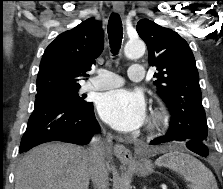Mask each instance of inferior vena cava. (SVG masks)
Returning <instances> with one entry per match:
<instances>
[{"instance_id":"inferior-vena-cava-1","label":"inferior vena cava","mask_w":223,"mask_h":189,"mask_svg":"<svg viewBox=\"0 0 223 189\" xmlns=\"http://www.w3.org/2000/svg\"><path fill=\"white\" fill-rule=\"evenodd\" d=\"M104 151L100 138L98 136H94L91 140V147L88 152L92 161L90 178L95 189H109L108 172L104 161Z\"/></svg>"}]
</instances>
